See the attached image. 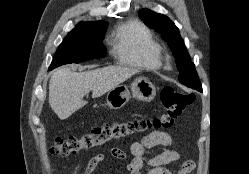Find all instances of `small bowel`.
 Instances as JSON below:
<instances>
[{"instance_id": "1", "label": "small bowel", "mask_w": 249, "mask_h": 174, "mask_svg": "<svg viewBox=\"0 0 249 174\" xmlns=\"http://www.w3.org/2000/svg\"><path fill=\"white\" fill-rule=\"evenodd\" d=\"M173 139L170 134L162 131H154L144 136L141 141L133 142L129 147V152L119 148H111L110 155L116 159L124 160L129 155L132 157L131 162L127 165L128 174H143L145 167L148 168L147 174H172L166 165L180 159V153L176 150H166L154 156H148L146 149L155 146H171ZM104 153H98L93 156L83 168L79 163L75 166L72 174H94L99 164L105 160ZM195 168L193 160H186L177 174H190Z\"/></svg>"}]
</instances>
